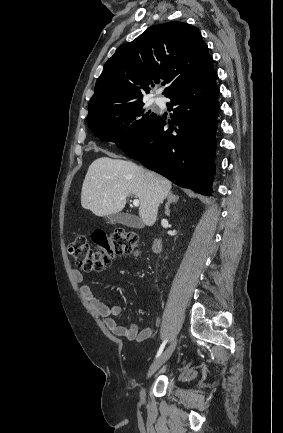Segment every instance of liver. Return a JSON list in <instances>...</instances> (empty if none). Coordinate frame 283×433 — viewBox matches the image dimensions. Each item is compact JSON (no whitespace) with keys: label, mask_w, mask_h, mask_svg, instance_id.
<instances>
[{"label":"liver","mask_w":283,"mask_h":433,"mask_svg":"<svg viewBox=\"0 0 283 433\" xmlns=\"http://www.w3.org/2000/svg\"><path fill=\"white\" fill-rule=\"evenodd\" d=\"M170 180L145 170L131 160L96 158L91 162L83 180L81 204L97 217L120 212L127 196L135 194L140 200L139 217L147 227L156 223L160 202L166 198Z\"/></svg>","instance_id":"6515ba94"}]
</instances>
